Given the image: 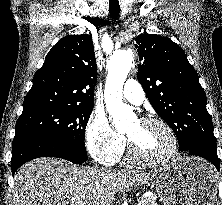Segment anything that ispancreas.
Segmentation results:
<instances>
[{"instance_id": "1", "label": "pancreas", "mask_w": 222, "mask_h": 205, "mask_svg": "<svg viewBox=\"0 0 222 205\" xmlns=\"http://www.w3.org/2000/svg\"><path fill=\"white\" fill-rule=\"evenodd\" d=\"M156 199L157 198L155 196L144 197L138 200L137 205H158L156 203Z\"/></svg>"}]
</instances>
